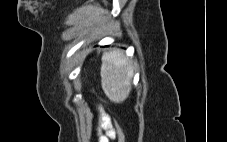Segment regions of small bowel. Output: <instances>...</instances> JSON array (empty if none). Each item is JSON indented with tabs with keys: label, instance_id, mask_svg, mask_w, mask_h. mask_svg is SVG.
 <instances>
[{
	"label": "small bowel",
	"instance_id": "small-bowel-1",
	"mask_svg": "<svg viewBox=\"0 0 227 142\" xmlns=\"http://www.w3.org/2000/svg\"><path fill=\"white\" fill-rule=\"evenodd\" d=\"M96 134L98 135V142H109L110 139H113V125L109 115L100 110L98 117V122L96 125Z\"/></svg>",
	"mask_w": 227,
	"mask_h": 142
}]
</instances>
